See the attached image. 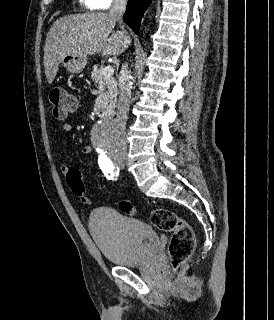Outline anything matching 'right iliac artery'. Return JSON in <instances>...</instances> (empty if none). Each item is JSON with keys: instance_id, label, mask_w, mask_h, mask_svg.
I'll return each mask as SVG.
<instances>
[{"instance_id": "right-iliac-artery-1", "label": "right iliac artery", "mask_w": 274, "mask_h": 320, "mask_svg": "<svg viewBox=\"0 0 274 320\" xmlns=\"http://www.w3.org/2000/svg\"><path fill=\"white\" fill-rule=\"evenodd\" d=\"M99 167L107 175L109 179H113L119 175V168L114 166L112 161L108 158H101L98 161Z\"/></svg>"}]
</instances>
